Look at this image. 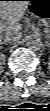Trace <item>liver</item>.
Instances as JSON below:
<instances>
[{
    "mask_svg": "<svg viewBox=\"0 0 50 111\" xmlns=\"http://www.w3.org/2000/svg\"><path fill=\"white\" fill-rule=\"evenodd\" d=\"M30 1L28 0H11L2 1L0 3V18L6 23L2 25V32L17 31L21 28L18 24L28 8Z\"/></svg>",
    "mask_w": 50,
    "mask_h": 111,
    "instance_id": "obj_1",
    "label": "liver"
}]
</instances>
